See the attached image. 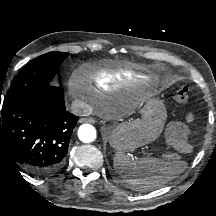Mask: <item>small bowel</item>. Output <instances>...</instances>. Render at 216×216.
<instances>
[{"label": "small bowel", "mask_w": 216, "mask_h": 216, "mask_svg": "<svg viewBox=\"0 0 216 216\" xmlns=\"http://www.w3.org/2000/svg\"><path fill=\"white\" fill-rule=\"evenodd\" d=\"M193 114L189 113L184 122L173 121L167 128V140L171 147L181 153H190L192 147L188 142L190 125L193 122Z\"/></svg>", "instance_id": "c3829d8e"}]
</instances>
